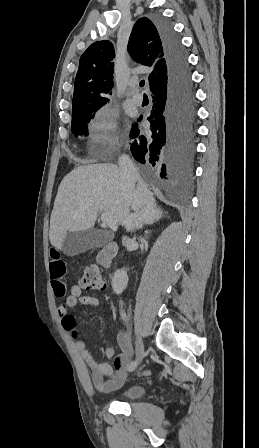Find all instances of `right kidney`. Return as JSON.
Returning a JSON list of instances; mask_svg holds the SVG:
<instances>
[{
    "label": "right kidney",
    "instance_id": "obj_1",
    "mask_svg": "<svg viewBox=\"0 0 259 448\" xmlns=\"http://www.w3.org/2000/svg\"><path fill=\"white\" fill-rule=\"evenodd\" d=\"M128 284V276L125 270H117L112 278V288L115 294H122Z\"/></svg>",
    "mask_w": 259,
    "mask_h": 448
}]
</instances>
